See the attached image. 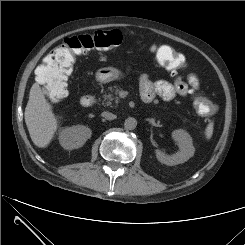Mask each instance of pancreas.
<instances>
[{
    "mask_svg": "<svg viewBox=\"0 0 245 245\" xmlns=\"http://www.w3.org/2000/svg\"><path fill=\"white\" fill-rule=\"evenodd\" d=\"M108 90L109 93L103 94L102 105L111 106L113 101L116 104H118L119 98L117 96H114V94L117 95L120 91V88L118 86H113V87H108Z\"/></svg>",
    "mask_w": 245,
    "mask_h": 245,
    "instance_id": "obj_1",
    "label": "pancreas"
}]
</instances>
